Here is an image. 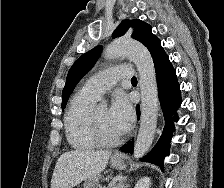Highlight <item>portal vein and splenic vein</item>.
Returning <instances> with one entry per match:
<instances>
[{"mask_svg": "<svg viewBox=\"0 0 224 188\" xmlns=\"http://www.w3.org/2000/svg\"><path fill=\"white\" fill-rule=\"evenodd\" d=\"M101 188H106V187L105 186H103V187L101 186ZM113 188H117V187H113Z\"/></svg>", "mask_w": 224, "mask_h": 188, "instance_id": "obj_1", "label": "portal vein and splenic vein"}]
</instances>
